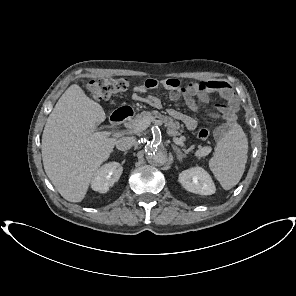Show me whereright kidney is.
Segmentation results:
<instances>
[{
	"mask_svg": "<svg viewBox=\"0 0 296 296\" xmlns=\"http://www.w3.org/2000/svg\"><path fill=\"white\" fill-rule=\"evenodd\" d=\"M123 168L118 162H109L100 167L91 180V188L100 193H106L117 182Z\"/></svg>",
	"mask_w": 296,
	"mask_h": 296,
	"instance_id": "1",
	"label": "right kidney"
}]
</instances>
